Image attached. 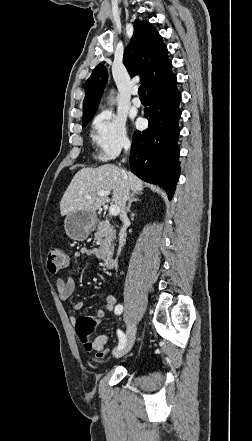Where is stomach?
<instances>
[{
    "label": "stomach",
    "mask_w": 252,
    "mask_h": 441,
    "mask_svg": "<svg viewBox=\"0 0 252 441\" xmlns=\"http://www.w3.org/2000/svg\"><path fill=\"white\" fill-rule=\"evenodd\" d=\"M97 223V216L92 211H74L64 221L67 235L75 241L85 240Z\"/></svg>",
    "instance_id": "1"
}]
</instances>
